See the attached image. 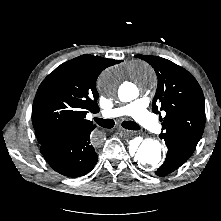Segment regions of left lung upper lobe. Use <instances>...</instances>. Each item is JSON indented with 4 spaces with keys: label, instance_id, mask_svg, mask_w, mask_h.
Listing matches in <instances>:
<instances>
[{
    "label": "left lung upper lobe",
    "instance_id": "left-lung-upper-lobe-1",
    "mask_svg": "<svg viewBox=\"0 0 221 221\" xmlns=\"http://www.w3.org/2000/svg\"><path fill=\"white\" fill-rule=\"evenodd\" d=\"M148 62L158 77L152 111L166 112L161 139H174L196 147L205 127L204 95L197 80L184 68L157 56L136 55Z\"/></svg>",
    "mask_w": 221,
    "mask_h": 221
}]
</instances>
